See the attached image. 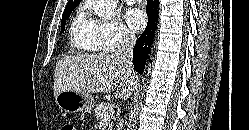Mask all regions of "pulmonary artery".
Here are the masks:
<instances>
[{
    "label": "pulmonary artery",
    "mask_w": 249,
    "mask_h": 130,
    "mask_svg": "<svg viewBox=\"0 0 249 130\" xmlns=\"http://www.w3.org/2000/svg\"><path fill=\"white\" fill-rule=\"evenodd\" d=\"M129 4H137L140 3L142 0H125Z\"/></svg>",
    "instance_id": "pulmonary-artery-1"
}]
</instances>
